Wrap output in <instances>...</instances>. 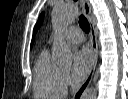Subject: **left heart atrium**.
<instances>
[{
    "instance_id": "39dd6f15",
    "label": "left heart atrium",
    "mask_w": 128,
    "mask_h": 99,
    "mask_svg": "<svg viewBox=\"0 0 128 99\" xmlns=\"http://www.w3.org/2000/svg\"><path fill=\"white\" fill-rule=\"evenodd\" d=\"M92 56L90 51L87 48H82L74 54L73 58V67L72 75L74 79L81 80L83 79L91 66Z\"/></svg>"
}]
</instances>
